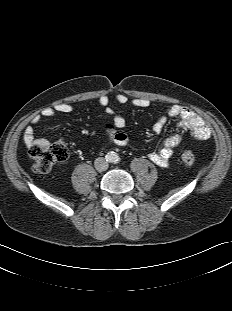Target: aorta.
<instances>
[{
    "label": "aorta",
    "instance_id": "aorta-1",
    "mask_svg": "<svg viewBox=\"0 0 232 311\" xmlns=\"http://www.w3.org/2000/svg\"><path fill=\"white\" fill-rule=\"evenodd\" d=\"M106 158L109 162H116L118 161V155L115 152H109L106 155Z\"/></svg>",
    "mask_w": 232,
    "mask_h": 311
}]
</instances>
